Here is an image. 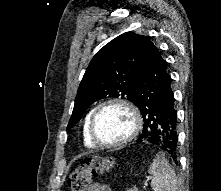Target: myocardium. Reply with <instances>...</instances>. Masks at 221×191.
I'll list each match as a JSON object with an SVG mask.
<instances>
[{"label": "myocardium", "mask_w": 221, "mask_h": 191, "mask_svg": "<svg viewBox=\"0 0 221 191\" xmlns=\"http://www.w3.org/2000/svg\"><path fill=\"white\" fill-rule=\"evenodd\" d=\"M112 106L122 107L130 114L132 118V127L129 134L122 140L114 143H105L97 138L95 132V123L99 113L103 109ZM141 128H142V116L140 114L139 109L132 102L122 98H110L101 102L94 108L89 120V136L92 142L98 147L107 148V149H117L127 145L138 136Z\"/></svg>", "instance_id": "1"}]
</instances>
